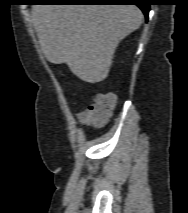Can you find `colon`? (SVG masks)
Returning a JSON list of instances; mask_svg holds the SVG:
<instances>
[{
    "mask_svg": "<svg viewBox=\"0 0 188 213\" xmlns=\"http://www.w3.org/2000/svg\"><path fill=\"white\" fill-rule=\"evenodd\" d=\"M116 104V96L112 93H100L93 97L88 106V115L92 122L98 123L109 116Z\"/></svg>",
    "mask_w": 188,
    "mask_h": 213,
    "instance_id": "5ec220e1",
    "label": "colon"
}]
</instances>
